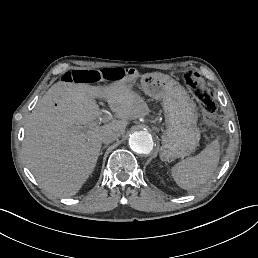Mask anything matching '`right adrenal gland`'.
<instances>
[{
  "instance_id": "2a0ac1e0",
  "label": "right adrenal gland",
  "mask_w": 258,
  "mask_h": 258,
  "mask_svg": "<svg viewBox=\"0 0 258 258\" xmlns=\"http://www.w3.org/2000/svg\"><path fill=\"white\" fill-rule=\"evenodd\" d=\"M105 148H106V146H104V147L100 150L99 155H102V154H103V149H105Z\"/></svg>"
}]
</instances>
